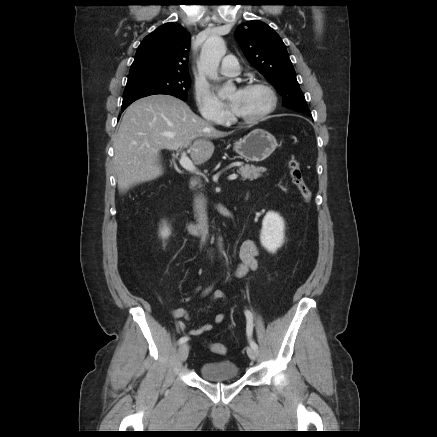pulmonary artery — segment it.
<instances>
[{"mask_svg":"<svg viewBox=\"0 0 437 437\" xmlns=\"http://www.w3.org/2000/svg\"><path fill=\"white\" fill-rule=\"evenodd\" d=\"M240 67L235 56L227 55L222 60L220 73L224 76L232 77L239 73Z\"/></svg>","mask_w":437,"mask_h":437,"instance_id":"pulmonary-artery-1","label":"pulmonary artery"}]
</instances>
